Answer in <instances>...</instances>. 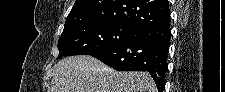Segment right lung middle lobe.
Returning <instances> with one entry per match:
<instances>
[{
	"instance_id": "right-lung-middle-lobe-1",
	"label": "right lung middle lobe",
	"mask_w": 225,
	"mask_h": 92,
	"mask_svg": "<svg viewBox=\"0 0 225 92\" xmlns=\"http://www.w3.org/2000/svg\"><path fill=\"white\" fill-rule=\"evenodd\" d=\"M138 29L120 22L84 23L64 29L58 41L59 55H93L136 36Z\"/></svg>"
}]
</instances>
